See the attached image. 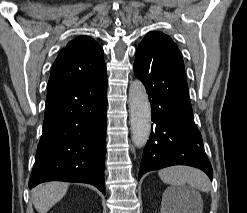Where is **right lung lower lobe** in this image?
<instances>
[{
    "label": "right lung lower lobe",
    "instance_id": "98d812e1",
    "mask_svg": "<svg viewBox=\"0 0 247 213\" xmlns=\"http://www.w3.org/2000/svg\"><path fill=\"white\" fill-rule=\"evenodd\" d=\"M106 112V71L47 90L29 188L58 180L89 183L104 193Z\"/></svg>",
    "mask_w": 247,
    "mask_h": 213
}]
</instances>
